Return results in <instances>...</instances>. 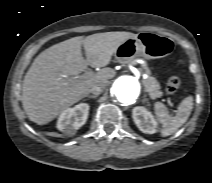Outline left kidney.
<instances>
[{
    "mask_svg": "<svg viewBox=\"0 0 212 183\" xmlns=\"http://www.w3.org/2000/svg\"><path fill=\"white\" fill-rule=\"evenodd\" d=\"M132 117L140 131L154 134L157 131V121L152 113L143 106H137L132 111Z\"/></svg>",
    "mask_w": 212,
    "mask_h": 183,
    "instance_id": "5707ae66",
    "label": "left kidney"
}]
</instances>
